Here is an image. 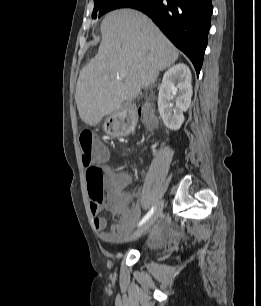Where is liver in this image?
I'll list each match as a JSON object with an SVG mask.
<instances>
[{
	"instance_id": "liver-1",
	"label": "liver",
	"mask_w": 261,
	"mask_h": 306,
	"mask_svg": "<svg viewBox=\"0 0 261 306\" xmlns=\"http://www.w3.org/2000/svg\"><path fill=\"white\" fill-rule=\"evenodd\" d=\"M97 55L80 71L75 100L80 118L97 125L126 100L153 84L179 52L145 14L134 9L108 13L101 23ZM126 72L124 81L117 75Z\"/></svg>"
}]
</instances>
